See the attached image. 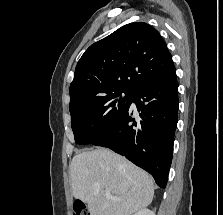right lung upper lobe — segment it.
<instances>
[{
    "label": "right lung upper lobe",
    "instance_id": "obj_1",
    "mask_svg": "<svg viewBox=\"0 0 223 215\" xmlns=\"http://www.w3.org/2000/svg\"><path fill=\"white\" fill-rule=\"evenodd\" d=\"M159 32L144 22L122 26L92 44L77 63L69 110L112 92H135L175 73Z\"/></svg>",
    "mask_w": 223,
    "mask_h": 215
}]
</instances>
